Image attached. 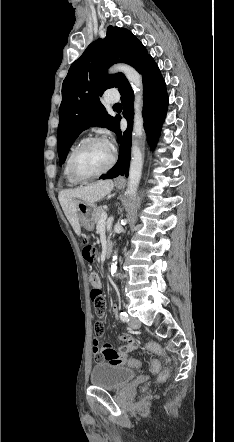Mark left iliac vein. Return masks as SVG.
Here are the masks:
<instances>
[{
	"label": "left iliac vein",
	"mask_w": 234,
	"mask_h": 442,
	"mask_svg": "<svg viewBox=\"0 0 234 442\" xmlns=\"http://www.w3.org/2000/svg\"><path fill=\"white\" fill-rule=\"evenodd\" d=\"M129 326L133 329H138L141 326V322L137 317H131L129 320Z\"/></svg>",
	"instance_id": "4c4485c4"
}]
</instances>
